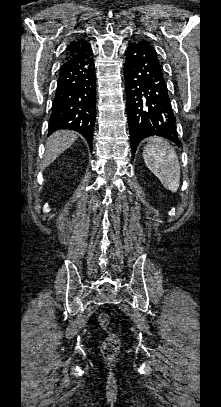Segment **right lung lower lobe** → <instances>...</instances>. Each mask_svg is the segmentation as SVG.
<instances>
[{"label": "right lung lower lobe", "instance_id": "obj_1", "mask_svg": "<svg viewBox=\"0 0 221 407\" xmlns=\"http://www.w3.org/2000/svg\"><path fill=\"white\" fill-rule=\"evenodd\" d=\"M87 43L64 60L52 103L48 135L59 129L81 133L90 147L96 118V76Z\"/></svg>", "mask_w": 221, "mask_h": 407}]
</instances>
